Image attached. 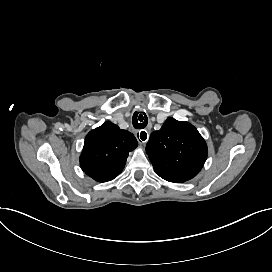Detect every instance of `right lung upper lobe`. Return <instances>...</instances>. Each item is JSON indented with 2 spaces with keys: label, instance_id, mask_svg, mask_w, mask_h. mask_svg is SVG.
Segmentation results:
<instances>
[{
  "label": "right lung upper lobe",
  "instance_id": "obj_1",
  "mask_svg": "<svg viewBox=\"0 0 272 272\" xmlns=\"http://www.w3.org/2000/svg\"><path fill=\"white\" fill-rule=\"evenodd\" d=\"M138 143L132 133L111 122L90 131L85 139L80 166L98 182L113 180L125 166L130 151Z\"/></svg>",
  "mask_w": 272,
  "mask_h": 272
}]
</instances>
